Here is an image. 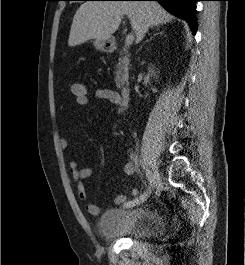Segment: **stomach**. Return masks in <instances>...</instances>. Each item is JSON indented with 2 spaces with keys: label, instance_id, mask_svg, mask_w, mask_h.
<instances>
[{
  "label": "stomach",
  "instance_id": "stomach-1",
  "mask_svg": "<svg viewBox=\"0 0 245 265\" xmlns=\"http://www.w3.org/2000/svg\"><path fill=\"white\" fill-rule=\"evenodd\" d=\"M94 47L101 51V52H106L110 49V41L109 40H95L93 42Z\"/></svg>",
  "mask_w": 245,
  "mask_h": 265
}]
</instances>
